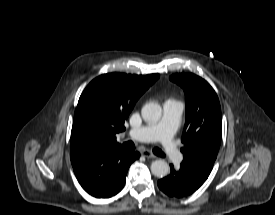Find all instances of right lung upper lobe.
Returning <instances> with one entry per match:
<instances>
[{"instance_id": "obj_1", "label": "right lung upper lobe", "mask_w": 275, "mask_h": 215, "mask_svg": "<svg viewBox=\"0 0 275 215\" xmlns=\"http://www.w3.org/2000/svg\"><path fill=\"white\" fill-rule=\"evenodd\" d=\"M159 78L122 73L104 74L81 94L74 114L70 158L74 163L98 148L116 147V133L125 130L124 122L139 97Z\"/></svg>"}]
</instances>
